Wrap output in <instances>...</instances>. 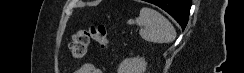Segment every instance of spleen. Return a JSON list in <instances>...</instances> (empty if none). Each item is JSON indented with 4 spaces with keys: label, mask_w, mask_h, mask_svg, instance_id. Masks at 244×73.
<instances>
[{
    "label": "spleen",
    "mask_w": 244,
    "mask_h": 73,
    "mask_svg": "<svg viewBox=\"0 0 244 73\" xmlns=\"http://www.w3.org/2000/svg\"><path fill=\"white\" fill-rule=\"evenodd\" d=\"M128 24L139 25L141 38L151 43H170L176 38V30L170 21L148 7H143L139 17L128 20Z\"/></svg>",
    "instance_id": "spleen-1"
}]
</instances>
